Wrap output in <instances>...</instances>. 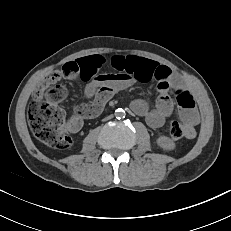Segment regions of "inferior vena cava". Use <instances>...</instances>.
Returning a JSON list of instances; mask_svg holds the SVG:
<instances>
[{
    "label": "inferior vena cava",
    "mask_w": 231,
    "mask_h": 231,
    "mask_svg": "<svg viewBox=\"0 0 231 231\" xmlns=\"http://www.w3.org/2000/svg\"><path fill=\"white\" fill-rule=\"evenodd\" d=\"M110 118H112V115L108 116L106 119L108 120V119H110Z\"/></svg>",
    "instance_id": "inferior-vena-cava-1"
}]
</instances>
